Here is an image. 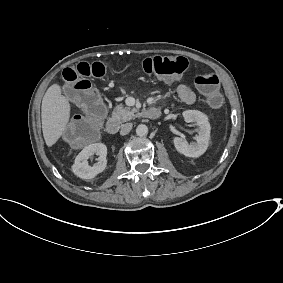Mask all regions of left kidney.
<instances>
[{"label": "left kidney", "mask_w": 283, "mask_h": 283, "mask_svg": "<svg viewBox=\"0 0 283 283\" xmlns=\"http://www.w3.org/2000/svg\"><path fill=\"white\" fill-rule=\"evenodd\" d=\"M185 122H196L199 127L196 142L188 143L186 140L175 137L174 145L178 152L187 157H199L205 153L208 148L210 139V123L207 115L198 110H186L182 113Z\"/></svg>", "instance_id": "1"}]
</instances>
